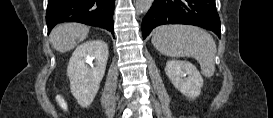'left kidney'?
<instances>
[{"label": "left kidney", "instance_id": "5707ae66", "mask_svg": "<svg viewBox=\"0 0 273 118\" xmlns=\"http://www.w3.org/2000/svg\"><path fill=\"white\" fill-rule=\"evenodd\" d=\"M165 73L174 87L183 95L190 99H195L200 95L203 78L190 62L170 60L166 63Z\"/></svg>", "mask_w": 273, "mask_h": 118}]
</instances>
